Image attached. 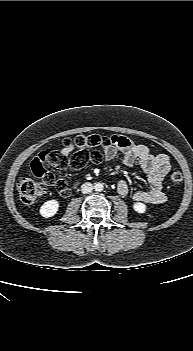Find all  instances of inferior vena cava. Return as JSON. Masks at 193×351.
Masks as SVG:
<instances>
[{
  "label": "inferior vena cava",
  "instance_id": "602c4592",
  "mask_svg": "<svg viewBox=\"0 0 193 351\" xmlns=\"http://www.w3.org/2000/svg\"><path fill=\"white\" fill-rule=\"evenodd\" d=\"M93 190V185L90 182H86L81 186V192L83 194L91 193Z\"/></svg>",
  "mask_w": 193,
  "mask_h": 351
}]
</instances>
